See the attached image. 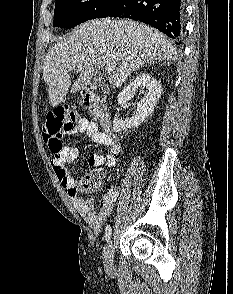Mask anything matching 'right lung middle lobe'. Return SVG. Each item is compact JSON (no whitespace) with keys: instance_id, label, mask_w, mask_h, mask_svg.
Returning <instances> with one entry per match:
<instances>
[{"instance_id":"obj_1","label":"right lung middle lobe","mask_w":233,"mask_h":294,"mask_svg":"<svg viewBox=\"0 0 233 294\" xmlns=\"http://www.w3.org/2000/svg\"><path fill=\"white\" fill-rule=\"evenodd\" d=\"M121 0H56L54 27L73 28L90 19L107 17Z\"/></svg>"}]
</instances>
